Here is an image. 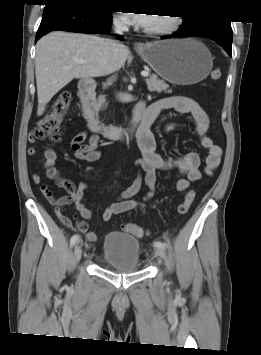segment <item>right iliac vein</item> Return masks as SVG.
<instances>
[{
  "label": "right iliac vein",
  "mask_w": 261,
  "mask_h": 355,
  "mask_svg": "<svg viewBox=\"0 0 261 355\" xmlns=\"http://www.w3.org/2000/svg\"><path fill=\"white\" fill-rule=\"evenodd\" d=\"M81 256H82V248L79 244H77L74 248L75 261H79L81 259Z\"/></svg>",
  "instance_id": "63e3f726"
}]
</instances>
